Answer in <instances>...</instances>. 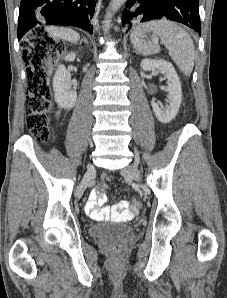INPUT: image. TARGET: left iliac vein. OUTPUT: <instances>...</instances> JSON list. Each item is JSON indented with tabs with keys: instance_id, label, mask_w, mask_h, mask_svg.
Masks as SVG:
<instances>
[{
	"instance_id": "1",
	"label": "left iliac vein",
	"mask_w": 227,
	"mask_h": 298,
	"mask_svg": "<svg viewBox=\"0 0 227 298\" xmlns=\"http://www.w3.org/2000/svg\"><path fill=\"white\" fill-rule=\"evenodd\" d=\"M121 173L126 176H133L136 180L140 179V173L136 165H131L122 169Z\"/></svg>"
}]
</instances>
